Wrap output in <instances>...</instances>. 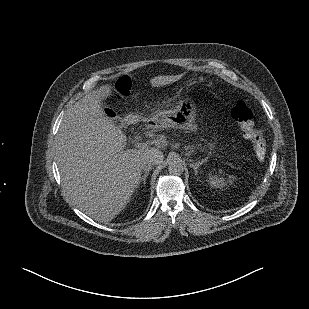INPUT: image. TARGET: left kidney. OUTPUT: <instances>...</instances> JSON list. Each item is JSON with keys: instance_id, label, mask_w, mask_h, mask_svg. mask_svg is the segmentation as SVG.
Here are the masks:
<instances>
[{"instance_id": "1", "label": "left kidney", "mask_w": 309, "mask_h": 309, "mask_svg": "<svg viewBox=\"0 0 309 309\" xmlns=\"http://www.w3.org/2000/svg\"><path fill=\"white\" fill-rule=\"evenodd\" d=\"M232 179L233 177L232 176H229L227 182L224 180V178L222 177H219L217 175H214V176H209V185L211 187H216V188H223L225 187L227 184L226 183H232Z\"/></svg>"}]
</instances>
